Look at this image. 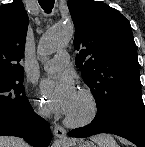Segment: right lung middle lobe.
Listing matches in <instances>:
<instances>
[{"label":"right lung middle lobe","mask_w":145,"mask_h":147,"mask_svg":"<svg viewBox=\"0 0 145 147\" xmlns=\"http://www.w3.org/2000/svg\"><path fill=\"white\" fill-rule=\"evenodd\" d=\"M22 78L21 74L0 79V116L20 113L28 107Z\"/></svg>","instance_id":"right-lung-middle-lobe-1"}]
</instances>
